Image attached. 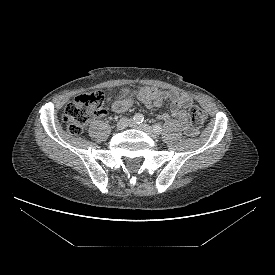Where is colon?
I'll return each mask as SVG.
<instances>
[{"label": "colon", "instance_id": "colon-1", "mask_svg": "<svg viewBox=\"0 0 275 275\" xmlns=\"http://www.w3.org/2000/svg\"><path fill=\"white\" fill-rule=\"evenodd\" d=\"M105 100V95L100 91L81 94L69 102L63 112L62 120L66 123L68 131L72 135H80L85 128L87 121L100 113ZM191 125L194 128H201L205 122L206 114L197 105L193 104L188 110Z\"/></svg>", "mask_w": 275, "mask_h": 275}]
</instances>
